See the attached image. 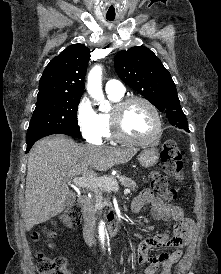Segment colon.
I'll use <instances>...</instances> for the list:
<instances>
[{"instance_id": "1", "label": "colon", "mask_w": 221, "mask_h": 274, "mask_svg": "<svg viewBox=\"0 0 221 274\" xmlns=\"http://www.w3.org/2000/svg\"><path fill=\"white\" fill-rule=\"evenodd\" d=\"M161 160L165 175H153L151 180L152 188L165 200L172 201L178 197L179 189L169 187L167 177L173 178L177 182L182 181L184 177L181 152L173 140H167L164 143ZM80 221L81 209L78 205H72L62 213L57 221L52 223V227L61 224L67 228H75L80 224ZM45 233L51 236L53 234L51 227H47ZM39 237L40 234L37 232L32 234V239L35 241ZM38 272L39 274H70L65 258H51L43 253H39L38 255Z\"/></svg>"}]
</instances>
